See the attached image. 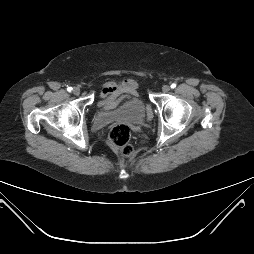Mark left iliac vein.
<instances>
[{"label":"left iliac vein","instance_id":"obj_1","mask_svg":"<svg viewBox=\"0 0 254 254\" xmlns=\"http://www.w3.org/2000/svg\"><path fill=\"white\" fill-rule=\"evenodd\" d=\"M162 91H163L164 93L169 92V91H170V86H169V85H164V86L162 87Z\"/></svg>","mask_w":254,"mask_h":254}]
</instances>
